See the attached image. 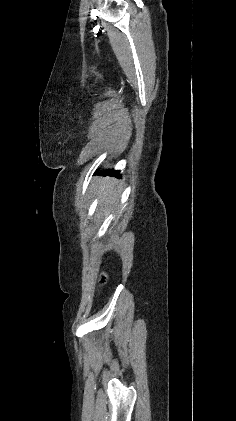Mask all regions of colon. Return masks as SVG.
Wrapping results in <instances>:
<instances>
[{
  "label": "colon",
  "mask_w": 236,
  "mask_h": 421,
  "mask_svg": "<svg viewBox=\"0 0 236 421\" xmlns=\"http://www.w3.org/2000/svg\"><path fill=\"white\" fill-rule=\"evenodd\" d=\"M104 280H105V278L103 277V278H102V281H104Z\"/></svg>",
  "instance_id": "colon-1"
}]
</instances>
